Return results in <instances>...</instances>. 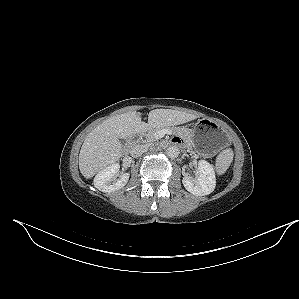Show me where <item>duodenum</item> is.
Listing matches in <instances>:
<instances>
[{
	"mask_svg": "<svg viewBox=\"0 0 299 299\" xmlns=\"http://www.w3.org/2000/svg\"><path fill=\"white\" fill-rule=\"evenodd\" d=\"M134 143L135 142L133 140L129 141L125 147V151L127 152L134 145Z\"/></svg>",
	"mask_w": 299,
	"mask_h": 299,
	"instance_id": "duodenum-1",
	"label": "duodenum"
}]
</instances>
